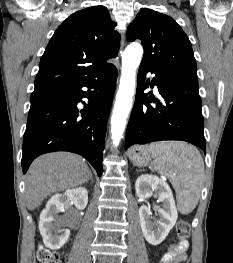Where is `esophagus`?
I'll return each instance as SVG.
<instances>
[{
	"label": "esophagus",
	"mask_w": 233,
	"mask_h": 263,
	"mask_svg": "<svg viewBox=\"0 0 233 263\" xmlns=\"http://www.w3.org/2000/svg\"><path fill=\"white\" fill-rule=\"evenodd\" d=\"M124 44H125V36H124V34H122V36H121V45H120V53H122V50L124 48Z\"/></svg>",
	"instance_id": "esophagus-1"
}]
</instances>
